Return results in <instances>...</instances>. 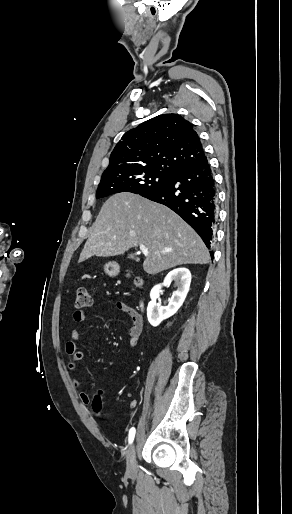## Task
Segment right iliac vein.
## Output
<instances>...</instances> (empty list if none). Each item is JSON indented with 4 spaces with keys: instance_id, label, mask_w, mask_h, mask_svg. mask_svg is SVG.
I'll use <instances>...</instances> for the list:
<instances>
[{
    "instance_id": "obj_1",
    "label": "right iliac vein",
    "mask_w": 292,
    "mask_h": 514,
    "mask_svg": "<svg viewBox=\"0 0 292 514\" xmlns=\"http://www.w3.org/2000/svg\"><path fill=\"white\" fill-rule=\"evenodd\" d=\"M137 471V461H136V445L133 443L128 451L126 458V472L129 476H134Z\"/></svg>"
}]
</instances>
